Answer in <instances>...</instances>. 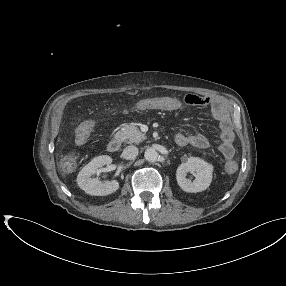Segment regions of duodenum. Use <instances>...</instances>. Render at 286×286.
<instances>
[{
	"label": "duodenum",
	"mask_w": 286,
	"mask_h": 286,
	"mask_svg": "<svg viewBox=\"0 0 286 286\" xmlns=\"http://www.w3.org/2000/svg\"><path fill=\"white\" fill-rule=\"evenodd\" d=\"M121 147V139L119 137H113L107 145V148L110 152L116 153Z\"/></svg>",
	"instance_id": "1"
}]
</instances>
